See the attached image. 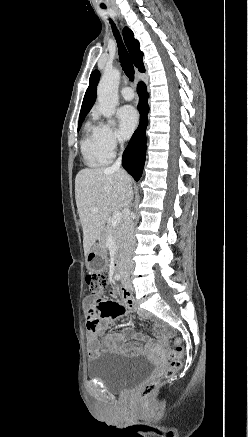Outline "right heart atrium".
I'll return each instance as SVG.
<instances>
[{
	"label": "right heart atrium",
	"instance_id": "1",
	"mask_svg": "<svg viewBox=\"0 0 248 437\" xmlns=\"http://www.w3.org/2000/svg\"><path fill=\"white\" fill-rule=\"evenodd\" d=\"M98 135L103 150L112 157L123 140L118 131L111 125L101 122L98 124Z\"/></svg>",
	"mask_w": 248,
	"mask_h": 437
}]
</instances>
